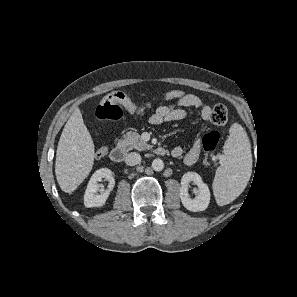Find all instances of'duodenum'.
Listing matches in <instances>:
<instances>
[{"instance_id": "410a0bca", "label": "duodenum", "mask_w": 297, "mask_h": 297, "mask_svg": "<svg viewBox=\"0 0 297 297\" xmlns=\"http://www.w3.org/2000/svg\"><path fill=\"white\" fill-rule=\"evenodd\" d=\"M154 151L159 156H164L168 153V150L164 147H156ZM126 155L127 148L124 145H117L110 152V158L117 163L122 162Z\"/></svg>"}]
</instances>
